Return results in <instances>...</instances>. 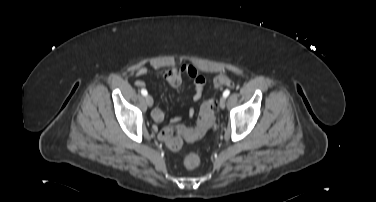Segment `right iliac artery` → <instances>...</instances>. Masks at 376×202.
<instances>
[{
    "instance_id": "right-iliac-artery-1",
    "label": "right iliac artery",
    "mask_w": 376,
    "mask_h": 202,
    "mask_svg": "<svg viewBox=\"0 0 376 202\" xmlns=\"http://www.w3.org/2000/svg\"><path fill=\"white\" fill-rule=\"evenodd\" d=\"M141 94L143 95V96H146L148 93H147V90L146 89H142L141 90Z\"/></svg>"
}]
</instances>
